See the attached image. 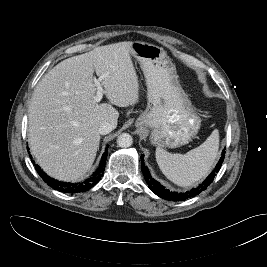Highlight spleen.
I'll use <instances>...</instances> for the list:
<instances>
[{"label":"spleen","instance_id":"3e777b00","mask_svg":"<svg viewBox=\"0 0 267 267\" xmlns=\"http://www.w3.org/2000/svg\"><path fill=\"white\" fill-rule=\"evenodd\" d=\"M219 132L215 129L200 146L186 154H172L157 147L155 156L162 173L179 186H190L206 176L218 156Z\"/></svg>","mask_w":267,"mask_h":267}]
</instances>
